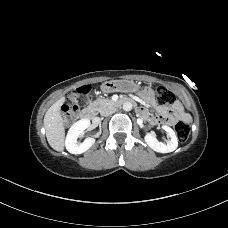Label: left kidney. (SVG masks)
I'll return each instance as SVG.
<instances>
[{"label":"left kidney","instance_id":"1","mask_svg":"<svg viewBox=\"0 0 228 228\" xmlns=\"http://www.w3.org/2000/svg\"><path fill=\"white\" fill-rule=\"evenodd\" d=\"M162 129L165 130L170 137L167 144L159 142L154 133H147L144 138L145 142L151 149L159 153H169L176 150L178 147V138L175 132L166 125L162 126Z\"/></svg>","mask_w":228,"mask_h":228}]
</instances>
